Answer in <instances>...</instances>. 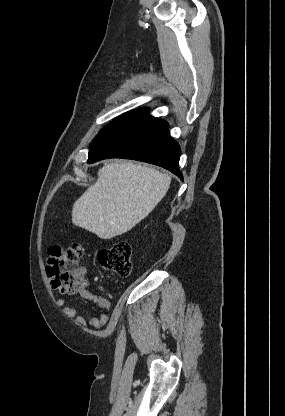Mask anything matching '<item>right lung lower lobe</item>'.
I'll return each mask as SVG.
<instances>
[{
  "label": "right lung lower lobe",
  "mask_w": 285,
  "mask_h": 416,
  "mask_svg": "<svg viewBox=\"0 0 285 416\" xmlns=\"http://www.w3.org/2000/svg\"><path fill=\"white\" fill-rule=\"evenodd\" d=\"M107 158L143 161L168 169L183 180L179 170L180 147L169 134L166 121L148 117L94 146L88 163Z\"/></svg>",
  "instance_id": "1"
}]
</instances>
